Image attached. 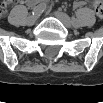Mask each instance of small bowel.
I'll return each instance as SVG.
<instances>
[{
  "label": "small bowel",
  "instance_id": "c3829d8e",
  "mask_svg": "<svg viewBox=\"0 0 103 103\" xmlns=\"http://www.w3.org/2000/svg\"><path fill=\"white\" fill-rule=\"evenodd\" d=\"M39 2L37 1V0H30V1H28L27 2V4L29 5V6H35V5H37ZM42 4V3H41ZM85 5V2L84 1H76L75 3H74V7L75 8H81V7H83ZM6 10H7V8H6ZM6 10H5V12H6ZM5 12L2 14V15H4L5 14Z\"/></svg>",
  "mask_w": 103,
  "mask_h": 103
}]
</instances>
